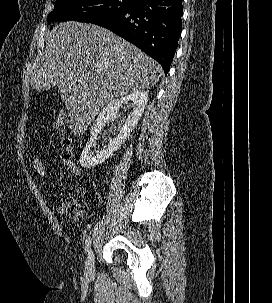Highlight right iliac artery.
I'll list each match as a JSON object with an SVG mask.
<instances>
[{
    "mask_svg": "<svg viewBox=\"0 0 272 303\" xmlns=\"http://www.w3.org/2000/svg\"><path fill=\"white\" fill-rule=\"evenodd\" d=\"M90 245H91V238L88 237L85 241V251L88 252L89 248H90Z\"/></svg>",
    "mask_w": 272,
    "mask_h": 303,
    "instance_id": "1",
    "label": "right iliac artery"
}]
</instances>
